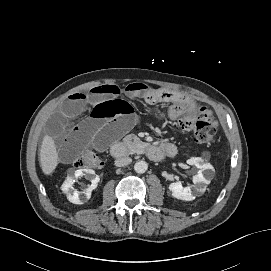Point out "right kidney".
<instances>
[{
    "instance_id": "1",
    "label": "right kidney",
    "mask_w": 271,
    "mask_h": 271,
    "mask_svg": "<svg viewBox=\"0 0 271 271\" xmlns=\"http://www.w3.org/2000/svg\"><path fill=\"white\" fill-rule=\"evenodd\" d=\"M86 176L91 179V185L83 192H78L74 189L73 184L75 179ZM100 178L95 175V172L91 169H78L74 171L72 175H68L61 186V190L66 194L67 199L74 204H83L87 202L91 197V192L98 185Z\"/></svg>"
}]
</instances>
